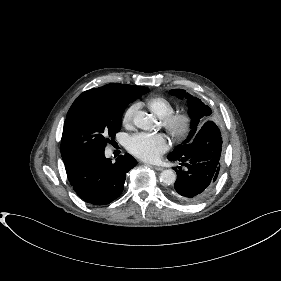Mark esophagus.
I'll list each match as a JSON object with an SVG mask.
<instances>
[{
	"mask_svg": "<svg viewBox=\"0 0 281 281\" xmlns=\"http://www.w3.org/2000/svg\"><path fill=\"white\" fill-rule=\"evenodd\" d=\"M153 169L157 170V171H162L164 168L161 166H151Z\"/></svg>",
	"mask_w": 281,
	"mask_h": 281,
	"instance_id": "1",
	"label": "esophagus"
}]
</instances>
